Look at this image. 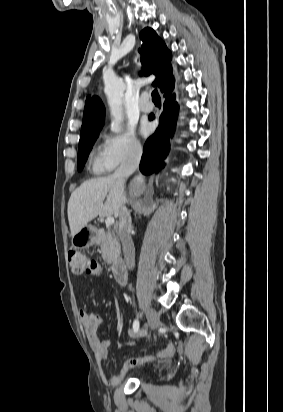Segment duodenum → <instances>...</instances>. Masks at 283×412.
<instances>
[{"label":"duodenum","instance_id":"1","mask_svg":"<svg viewBox=\"0 0 283 412\" xmlns=\"http://www.w3.org/2000/svg\"><path fill=\"white\" fill-rule=\"evenodd\" d=\"M112 272L119 285H125L127 283V272L123 262L116 261L112 266Z\"/></svg>","mask_w":283,"mask_h":412}]
</instances>
